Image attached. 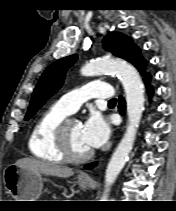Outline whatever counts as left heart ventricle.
<instances>
[{
	"label": "left heart ventricle",
	"mask_w": 176,
	"mask_h": 211,
	"mask_svg": "<svg viewBox=\"0 0 176 211\" xmlns=\"http://www.w3.org/2000/svg\"><path fill=\"white\" fill-rule=\"evenodd\" d=\"M68 136L70 146L75 153L81 154L90 150L82 138V126L79 122L72 120L69 123Z\"/></svg>",
	"instance_id": "left-heart-ventricle-1"
}]
</instances>
